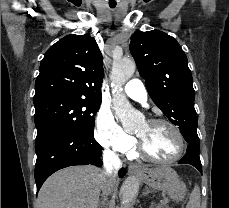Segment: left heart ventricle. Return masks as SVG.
<instances>
[{
    "instance_id": "1",
    "label": "left heart ventricle",
    "mask_w": 229,
    "mask_h": 208,
    "mask_svg": "<svg viewBox=\"0 0 229 208\" xmlns=\"http://www.w3.org/2000/svg\"><path fill=\"white\" fill-rule=\"evenodd\" d=\"M170 130L174 129L167 125L144 122L137 128L135 134L145 140L146 152H150V157H158V160H171L181 153L184 147H176Z\"/></svg>"
}]
</instances>
